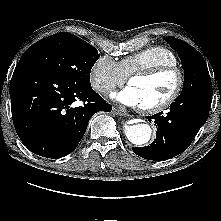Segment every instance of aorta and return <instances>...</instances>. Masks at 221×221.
I'll use <instances>...</instances> for the list:
<instances>
[{
  "label": "aorta",
  "mask_w": 221,
  "mask_h": 221,
  "mask_svg": "<svg viewBox=\"0 0 221 221\" xmlns=\"http://www.w3.org/2000/svg\"><path fill=\"white\" fill-rule=\"evenodd\" d=\"M124 133L128 140L135 145H143L149 142L152 135L150 125L138 123L134 125H125Z\"/></svg>",
  "instance_id": "762f6f07"
}]
</instances>
